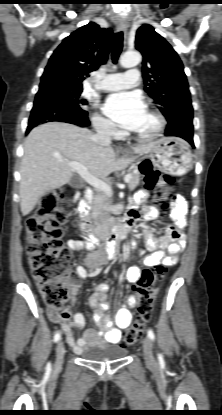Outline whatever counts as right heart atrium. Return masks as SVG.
I'll return each instance as SVG.
<instances>
[{"instance_id": "right-heart-atrium-1", "label": "right heart atrium", "mask_w": 222, "mask_h": 415, "mask_svg": "<svg viewBox=\"0 0 222 415\" xmlns=\"http://www.w3.org/2000/svg\"><path fill=\"white\" fill-rule=\"evenodd\" d=\"M93 126L96 131L100 134H105L109 136H116L118 130L116 126L108 119L95 114L92 118Z\"/></svg>"}]
</instances>
